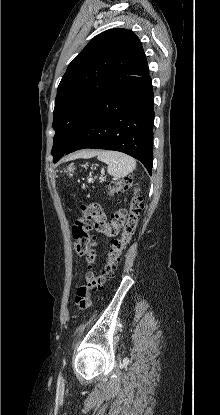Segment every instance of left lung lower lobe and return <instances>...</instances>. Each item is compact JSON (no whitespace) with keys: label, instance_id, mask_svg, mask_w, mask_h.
<instances>
[{"label":"left lung lower lobe","instance_id":"obj_1","mask_svg":"<svg viewBox=\"0 0 220 415\" xmlns=\"http://www.w3.org/2000/svg\"><path fill=\"white\" fill-rule=\"evenodd\" d=\"M154 94L149 68L116 79L93 107L80 133L66 152L93 148L126 153L151 175L153 165Z\"/></svg>","mask_w":220,"mask_h":415}]
</instances>
